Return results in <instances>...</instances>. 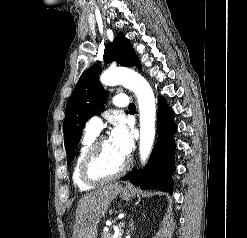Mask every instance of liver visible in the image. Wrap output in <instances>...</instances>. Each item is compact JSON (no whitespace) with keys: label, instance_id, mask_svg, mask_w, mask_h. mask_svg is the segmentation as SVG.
<instances>
[{"label":"liver","instance_id":"6515ba94","mask_svg":"<svg viewBox=\"0 0 247 238\" xmlns=\"http://www.w3.org/2000/svg\"><path fill=\"white\" fill-rule=\"evenodd\" d=\"M122 191L118 183L105 185L85 194L78 202L73 238H96L101 218L113 199Z\"/></svg>","mask_w":247,"mask_h":238}]
</instances>
